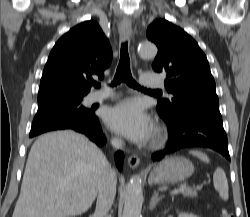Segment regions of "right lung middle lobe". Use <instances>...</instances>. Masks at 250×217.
Returning a JSON list of instances; mask_svg holds the SVG:
<instances>
[{
	"instance_id": "1",
	"label": "right lung middle lobe",
	"mask_w": 250,
	"mask_h": 217,
	"mask_svg": "<svg viewBox=\"0 0 250 217\" xmlns=\"http://www.w3.org/2000/svg\"><path fill=\"white\" fill-rule=\"evenodd\" d=\"M95 119L94 111L82 106V99L57 102L38 108L29 136L34 137L51 130L88 126Z\"/></svg>"
}]
</instances>
